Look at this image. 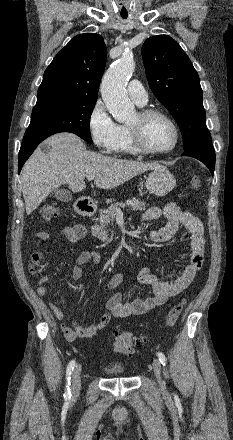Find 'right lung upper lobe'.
I'll return each instance as SVG.
<instances>
[{"instance_id": "obj_1", "label": "right lung upper lobe", "mask_w": 233, "mask_h": 440, "mask_svg": "<svg viewBox=\"0 0 233 440\" xmlns=\"http://www.w3.org/2000/svg\"><path fill=\"white\" fill-rule=\"evenodd\" d=\"M106 52L99 34L84 33L72 38L46 69L37 103L60 97L97 100Z\"/></svg>"}]
</instances>
